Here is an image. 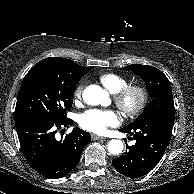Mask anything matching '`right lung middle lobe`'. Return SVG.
Here are the masks:
<instances>
[{"label": "right lung middle lobe", "instance_id": "dd1d6c3e", "mask_svg": "<svg viewBox=\"0 0 194 194\" xmlns=\"http://www.w3.org/2000/svg\"><path fill=\"white\" fill-rule=\"evenodd\" d=\"M82 76L84 74L72 72L59 57L41 60L23 79L15 117L42 114L56 120L65 119Z\"/></svg>", "mask_w": 194, "mask_h": 194}]
</instances>
